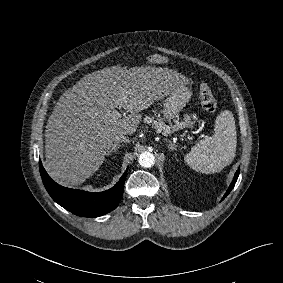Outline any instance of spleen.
I'll return each instance as SVG.
<instances>
[{"label":"spleen","mask_w":283,"mask_h":283,"mask_svg":"<svg viewBox=\"0 0 283 283\" xmlns=\"http://www.w3.org/2000/svg\"><path fill=\"white\" fill-rule=\"evenodd\" d=\"M214 135L196 143L184 161L193 170L211 174L231 164L236 152L237 133L232 112L222 111L216 118Z\"/></svg>","instance_id":"1"}]
</instances>
